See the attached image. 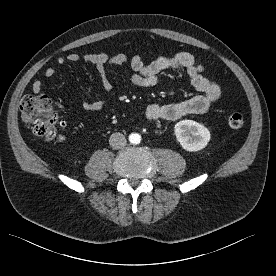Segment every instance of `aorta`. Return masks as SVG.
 Wrapping results in <instances>:
<instances>
[{"instance_id":"obj_1","label":"aorta","mask_w":276,"mask_h":276,"mask_svg":"<svg viewBox=\"0 0 276 276\" xmlns=\"http://www.w3.org/2000/svg\"><path fill=\"white\" fill-rule=\"evenodd\" d=\"M129 140L132 144H138L141 141V136L137 133L131 134Z\"/></svg>"}]
</instances>
